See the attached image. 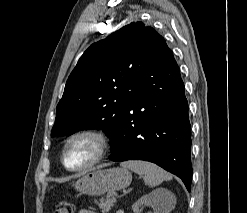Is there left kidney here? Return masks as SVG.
<instances>
[{"instance_id": "1", "label": "left kidney", "mask_w": 247, "mask_h": 213, "mask_svg": "<svg viewBox=\"0 0 247 213\" xmlns=\"http://www.w3.org/2000/svg\"><path fill=\"white\" fill-rule=\"evenodd\" d=\"M161 191L162 190H156L142 196L132 205V210L134 213H140L141 208L144 206H150L154 210V213H164L162 206L165 194H163Z\"/></svg>"}]
</instances>
